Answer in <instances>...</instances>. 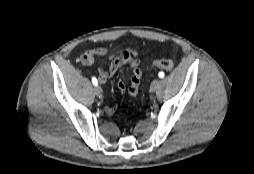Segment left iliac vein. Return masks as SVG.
Segmentation results:
<instances>
[{
    "label": "left iliac vein",
    "instance_id": "left-iliac-vein-1",
    "mask_svg": "<svg viewBox=\"0 0 254 174\" xmlns=\"http://www.w3.org/2000/svg\"><path fill=\"white\" fill-rule=\"evenodd\" d=\"M160 86V81L159 80H154L152 83H151V86H150V90L152 92H155Z\"/></svg>",
    "mask_w": 254,
    "mask_h": 174
}]
</instances>
